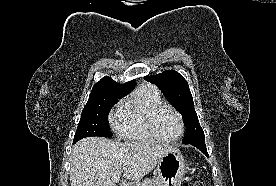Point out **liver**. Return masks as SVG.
<instances>
[{
	"mask_svg": "<svg viewBox=\"0 0 276 186\" xmlns=\"http://www.w3.org/2000/svg\"><path fill=\"white\" fill-rule=\"evenodd\" d=\"M174 149L170 145L116 142L88 137L77 142L71 154V186H115L113 175L139 181Z\"/></svg>",
	"mask_w": 276,
	"mask_h": 186,
	"instance_id": "1",
	"label": "liver"
}]
</instances>
